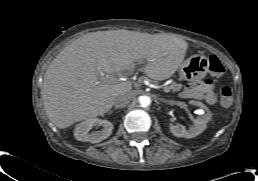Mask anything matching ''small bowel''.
Segmentation results:
<instances>
[{
	"label": "small bowel",
	"instance_id": "obj_1",
	"mask_svg": "<svg viewBox=\"0 0 258 181\" xmlns=\"http://www.w3.org/2000/svg\"><path fill=\"white\" fill-rule=\"evenodd\" d=\"M182 96L185 98L204 100L211 105L217 100V93L214 90L212 81L209 79L188 84L182 91Z\"/></svg>",
	"mask_w": 258,
	"mask_h": 181
}]
</instances>
